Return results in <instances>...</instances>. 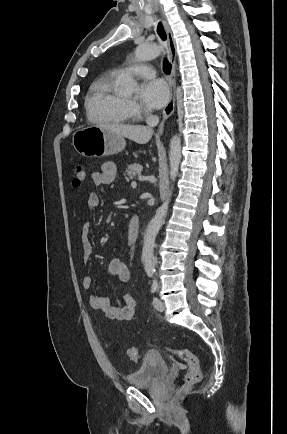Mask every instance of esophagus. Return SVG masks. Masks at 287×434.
I'll use <instances>...</instances> for the list:
<instances>
[{"label": "esophagus", "instance_id": "obj_1", "mask_svg": "<svg viewBox=\"0 0 287 434\" xmlns=\"http://www.w3.org/2000/svg\"><path fill=\"white\" fill-rule=\"evenodd\" d=\"M163 26H164L166 34H167L168 46H169V51H170V62L172 65V70H171V75H170V79H169L170 98H169L167 105L165 106V108L163 110V118H162V122L159 126V131H158L159 134L163 133V127H164L165 121L173 114V112L175 110V101H176V94H175L176 55H177L176 44H175V40H174L172 31H171L168 23L165 20H163Z\"/></svg>", "mask_w": 287, "mask_h": 434}]
</instances>
